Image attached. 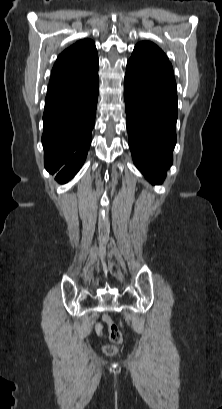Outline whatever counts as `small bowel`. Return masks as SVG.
I'll use <instances>...</instances> for the list:
<instances>
[{"mask_svg":"<svg viewBox=\"0 0 222 409\" xmlns=\"http://www.w3.org/2000/svg\"><path fill=\"white\" fill-rule=\"evenodd\" d=\"M102 325L100 324V323H96L95 324V327H94V329H95V331H96V333L98 334V335H102Z\"/></svg>","mask_w":222,"mask_h":409,"instance_id":"c3829d8e","label":"small bowel"}]
</instances>
